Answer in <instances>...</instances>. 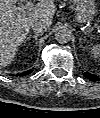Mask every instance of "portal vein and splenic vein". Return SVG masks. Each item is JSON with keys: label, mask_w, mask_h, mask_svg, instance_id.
Returning a JSON list of instances; mask_svg holds the SVG:
<instances>
[{"label": "portal vein and splenic vein", "mask_w": 100, "mask_h": 118, "mask_svg": "<svg viewBox=\"0 0 100 118\" xmlns=\"http://www.w3.org/2000/svg\"><path fill=\"white\" fill-rule=\"evenodd\" d=\"M35 8V4L32 0L27 1L25 4L17 8V13H25L27 11H32Z\"/></svg>", "instance_id": "18ae733b"}]
</instances>
